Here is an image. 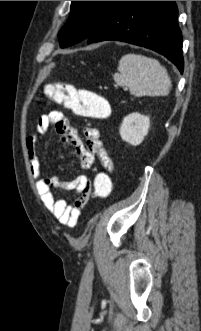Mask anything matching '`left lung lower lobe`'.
Listing matches in <instances>:
<instances>
[{
    "label": "left lung lower lobe",
    "instance_id": "obj_1",
    "mask_svg": "<svg viewBox=\"0 0 201 331\" xmlns=\"http://www.w3.org/2000/svg\"><path fill=\"white\" fill-rule=\"evenodd\" d=\"M177 14L175 1H120L87 42L115 40L146 47L164 55L183 73Z\"/></svg>",
    "mask_w": 201,
    "mask_h": 331
}]
</instances>
